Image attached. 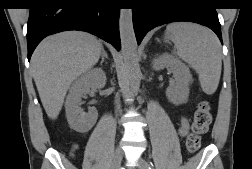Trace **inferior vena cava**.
<instances>
[{"label":"inferior vena cava","mask_w":252,"mask_h":169,"mask_svg":"<svg viewBox=\"0 0 252 169\" xmlns=\"http://www.w3.org/2000/svg\"><path fill=\"white\" fill-rule=\"evenodd\" d=\"M115 112L116 114H121V109H120V98L118 95L115 97Z\"/></svg>","instance_id":"inferior-vena-cava-1"}]
</instances>
